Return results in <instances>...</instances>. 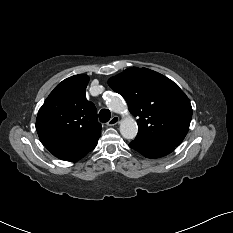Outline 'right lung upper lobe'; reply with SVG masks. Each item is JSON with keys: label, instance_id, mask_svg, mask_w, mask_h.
Wrapping results in <instances>:
<instances>
[{"label": "right lung upper lobe", "instance_id": "obj_1", "mask_svg": "<svg viewBox=\"0 0 233 233\" xmlns=\"http://www.w3.org/2000/svg\"><path fill=\"white\" fill-rule=\"evenodd\" d=\"M89 77L79 74L59 83L39 109L36 130L48 147H75L100 137L94 104L85 96Z\"/></svg>", "mask_w": 233, "mask_h": 233}]
</instances>
